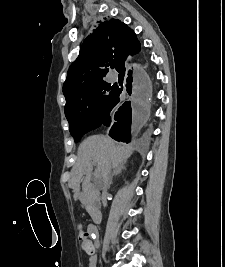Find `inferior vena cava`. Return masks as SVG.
I'll list each match as a JSON object with an SVG mask.
<instances>
[{
    "instance_id": "602c4592",
    "label": "inferior vena cava",
    "mask_w": 225,
    "mask_h": 267,
    "mask_svg": "<svg viewBox=\"0 0 225 267\" xmlns=\"http://www.w3.org/2000/svg\"><path fill=\"white\" fill-rule=\"evenodd\" d=\"M109 180H110V170L107 171V173H106V175L104 176V179H103L104 184H103V191H102V200H104L105 195L107 193Z\"/></svg>"
}]
</instances>
